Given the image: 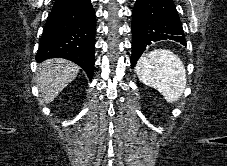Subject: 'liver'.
Returning a JSON list of instances; mask_svg holds the SVG:
<instances>
[{
  "mask_svg": "<svg viewBox=\"0 0 227 166\" xmlns=\"http://www.w3.org/2000/svg\"><path fill=\"white\" fill-rule=\"evenodd\" d=\"M79 73V66L62 59L53 58L41 63L38 68L37 86L45 103L52 102Z\"/></svg>",
  "mask_w": 227,
  "mask_h": 166,
  "instance_id": "6515ba94",
  "label": "liver"
}]
</instances>
